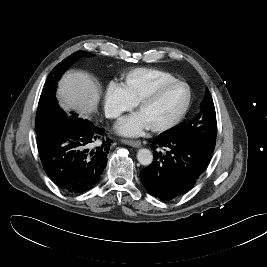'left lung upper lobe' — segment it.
Returning a JSON list of instances; mask_svg holds the SVG:
<instances>
[{
  "mask_svg": "<svg viewBox=\"0 0 267 267\" xmlns=\"http://www.w3.org/2000/svg\"><path fill=\"white\" fill-rule=\"evenodd\" d=\"M217 134V122L214 103L210 92L206 89L200 105L199 114L189 122H183L161 133L172 138H192L214 151Z\"/></svg>",
  "mask_w": 267,
  "mask_h": 267,
  "instance_id": "5c2ea615",
  "label": "left lung upper lobe"
}]
</instances>
